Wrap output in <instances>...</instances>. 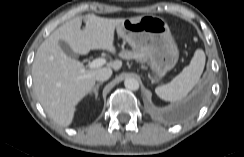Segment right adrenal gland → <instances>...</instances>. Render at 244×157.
I'll list each match as a JSON object with an SVG mask.
<instances>
[{
    "label": "right adrenal gland",
    "instance_id": "2a0ac1e0",
    "mask_svg": "<svg viewBox=\"0 0 244 157\" xmlns=\"http://www.w3.org/2000/svg\"><path fill=\"white\" fill-rule=\"evenodd\" d=\"M103 82H99L98 84H96V86L92 89L91 91V95L94 94L95 95V100H97V97H98V90H99V87L100 85H102Z\"/></svg>",
    "mask_w": 244,
    "mask_h": 157
}]
</instances>
